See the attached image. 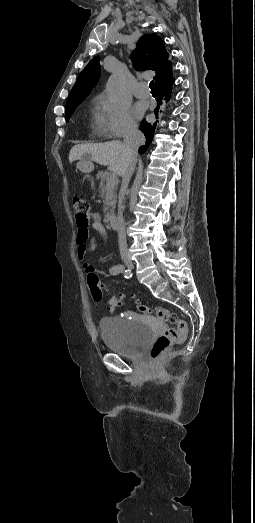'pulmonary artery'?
Wrapping results in <instances>:
<instances>
[{
	"mask_svg": "<svg viewBox=\"0 0 255 523\" xmlns=\"http://www.w3.org/2000/svg\"><path fill=\"white\" fill-rule=\"evenodd\" d=\"M133 94L139 98H147L150 96V88L146 82H139L133 89Z\"/></svg>",
	"mask_w": 255,
	"mask_h": 523,
	"instance_id": "pulmonary-artery-1",
	"label": "pulmonary artery"
}]
</instances>
